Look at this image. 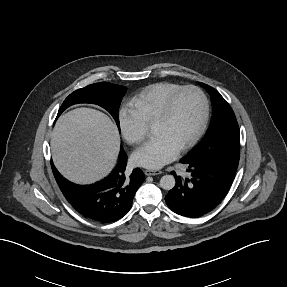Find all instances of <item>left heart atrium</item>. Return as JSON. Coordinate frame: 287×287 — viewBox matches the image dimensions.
Wrapping results in <instances>:
<instances>
[{
  "instance_id": "39dd6f15",
  "label": "left heart atrium",
  "mask_w": 287,
  "mask_h": 287,
  "mask_svg": "<svg viewBox=\"0 0 287 287\" xmlns=\"http://www.w3.org/2000/svg\"><path fill=\"white\" fill-rule=\"evenodd\" d=\"M178 151L167 138L156 136L135 151L133 160L140 166L158 169L176 158Z\"/></svg>"
}]
</instances>
